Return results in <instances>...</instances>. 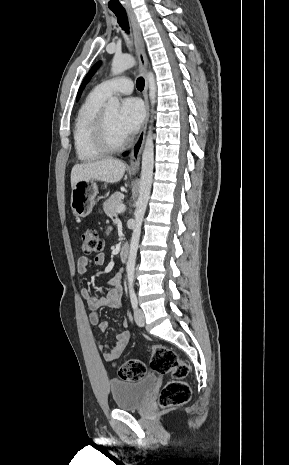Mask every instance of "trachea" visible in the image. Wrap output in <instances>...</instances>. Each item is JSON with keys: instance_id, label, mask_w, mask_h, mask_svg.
<instances>
[{"instance_id": "1", "label": "trachea", "mask_w": 289, "mask_h": 465, "mask_svg": "<svg viewBox=\"0 0 289 465\" xmlns=\"http://www.w3.org/2000/svg\"><path fill=\"white\" fill-rule=\"evenodd\" d=\"M117 17L118 23L120 27L125 30L127 33L129 32V24L128 18L125 10H112ZM144 79L142 77L138 78L136 81V87L138 90L142 91L144 89Z\"/></svg>"}]
</instances>
